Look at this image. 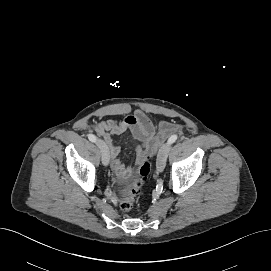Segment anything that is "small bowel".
<instances>
[{"label":"small bowel","instance_id":"small-bowel-1","mask_svg":"<svg viewBox=\"0 0 271 271\" xmlns=\"http://www.w3.org/2000/svg\"><path fill=\"white\" fill-rule=\"evenodd\" d=\"M179 127L172 123L161 122L159 133L150 118L142 111H135L121 121L107 120L98 123L95 131L101 135L108 147L111 157V168L120 181H126L133 172L132 167H127L119 160L120 148L113 143L112 136L130 132L136 141V159L141 163L146 158L154 155L161 142Z\"/></svg>","mask_w":271,"mask_h":271}]
</instances>
